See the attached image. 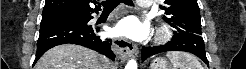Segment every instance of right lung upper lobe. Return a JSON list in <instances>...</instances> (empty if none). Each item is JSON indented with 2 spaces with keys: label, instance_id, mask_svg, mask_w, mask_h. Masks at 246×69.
<instances>
[{
  "label": "right lung upper lobe",
  "instance_id": "cb5924a9",
  "mask_svg": "<svg viewBox=\"0 0 246 69\" xmlns=\"http://www.w3.org/2000/svg\"><path fill=\"white\" fill-rule=\"evenodd\" d=\"M97 1L91 0H46L42 16L46 17L53 14L82 13L90 14L100 10ZM94 4L95 8L90 5Z\"/></svg>",
  "mask_w": 246,
  "mask_h": 69
}]
</instances>
